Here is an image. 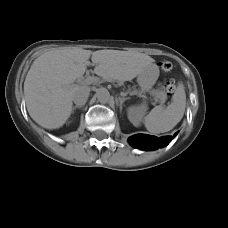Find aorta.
Returning a JSON list of instances; mask_svg holds the SVG:
<instances>
[{
	"mask_svg": "<svg viewBox=\"0 0 228 228\" xmlns=\"http://www.w3.org/2000/svg\"><path fill=\"white\" fill-rule=\"evenodd\" d=\"M96 97L97 100L102 104H106L111 101L110 93L106 88H99L96 92Z\"/></svg>",
	"mask_w": 228,
	"mask_h": 228,
	"instance_id": "1",
	"label": "aorta"
}]
</instances>
